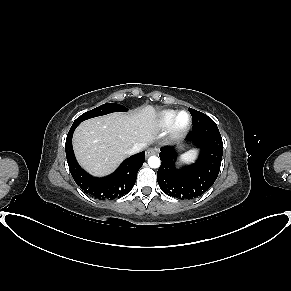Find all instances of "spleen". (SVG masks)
Instances as JSON below:
<instances>
[{"label": "spleen", "instance_id": "spleen-1", "mask_svg": "<svg viewBox=\"0 0 291 291\" xmlns=\"http://www.w3.org/2000/svg\"><path fill=\"white\" fill-rule=\"evenodd\" d=\"M196 154L197 152L194 150H191L185 154H183L180 158H179V162L182 163H189V162H193V160L196 158Z\"/></svg>", "mask_w": 291, "mask_h": 291}]
</instances>
